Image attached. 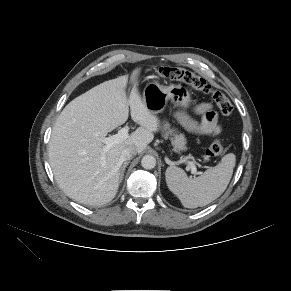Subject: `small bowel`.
Returning a JSON list of instances; mask_svg holds the SVG:
<instances>
[{
    "instance_id": "small-bowel-1",
    "label": "small bowel",
    "mask_w": 291,
    "mask_h": 291,
    "mask_svg": "<svg viewBox=\"0 0 291 291\" xmlns=\"http://www.w3.org/2000/svg\"><path fill=\"white\" fill-rule=\"evenodd\" d=\"M196 112L202 115L200 123L189 121L183 115H180L182 121L188 123L192 129L204 135H217L221 131V126L218 123L216 113L211 109L209 104H200L196 108Z\"/></svg>"
}]
</instances>
